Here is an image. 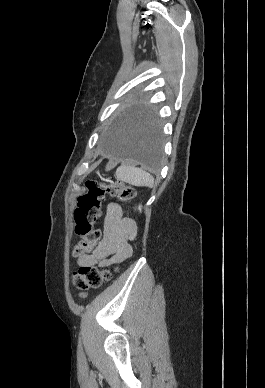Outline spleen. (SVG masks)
<instances>
[{"instance_id":"1","label":"spleen","mask_w":265,"mask_h":388,"mask_svg":"<svg viewBox=\"0 0 265 388\" xmlns=\"http://www.w3.org/2000/svg\"><path fill=\"white\" fill-rule=\"evenodd\" d=\"M116 176L131 186H149L152 188L154 184V178L148 172H144L141 168H135V166H120Z\"/></svg>"}]
</instances>
